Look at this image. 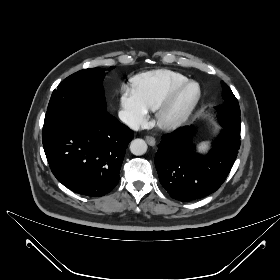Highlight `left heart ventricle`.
Returning a JSON list of instances; mask_svg holds the SVG:
<instances>
[{
	"mask_svg": "<svg viewBox=\"0 0 280 280\" xmlns=\"http://www.w3.org/2000/svg\"><path fill=\"white\" fill-rule=\"evenodd\" d=\"M195 93V86H191L186 91H184L176 101L173 108L171 109L170 114H175L182 110L187 105V103L194 97Z\"/></svg>",
	"mask_w": 280,
	"mask_h": 280,
	"instance_id": "1",
	"label": "left heart ventricle"
}]
</instances>
